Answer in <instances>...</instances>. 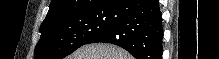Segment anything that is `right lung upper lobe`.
<instances>
[{"label": "right lung upper lobe", "instance_id": "obj_1", "mask_svg": "<svg viewBox=\"0 0 219 59\" xmlns=\"http://www.w3.org/2000/svg\"><path fill=\"white\" fill-rule=\"evenodd\" d=\"M120 0H52L43 23L55 18L114 8Z\"/></svg>", "mask_w": 219, "mask_h": 59}]
</instances>
